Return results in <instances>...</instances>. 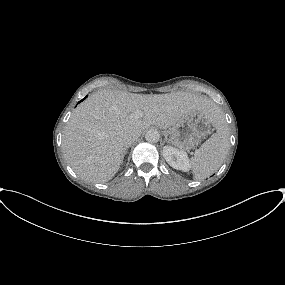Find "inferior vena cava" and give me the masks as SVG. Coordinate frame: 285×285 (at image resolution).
Masks as SVG:
<instances>
[{"mask_svg": "<svg viewBox=\"0 0 285 285\" xmlns=\"http://www.w3.org/2000/svg\"><path fill=\"white\" fill-rule=\"evenodd\" d=\"M139 135L137 134H125L121 141L125 147L130 146L136 139H138Z\"/></svg>", "mask_w": 285, "mask_h": 285, "instance_id": "602c4592", "label": "inferior vena cava"}]
</instances>
